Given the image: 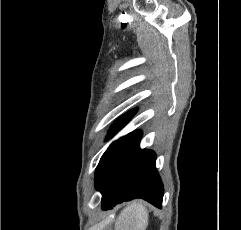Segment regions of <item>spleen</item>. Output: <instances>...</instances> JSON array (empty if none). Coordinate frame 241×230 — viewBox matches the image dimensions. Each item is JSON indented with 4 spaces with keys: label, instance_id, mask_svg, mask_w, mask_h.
Returning a JSON list of instances; mask_svg holds the SVG:
<instances>
[{
    "label": "spleen",
    "instance_id": "3e777b00",
    "mask_svg": "<svg viewBox=\"0 0 241 230\" xmlns=\"http://www.w3.org/2000/svg\"><path fill=\"white\" fill-rule=\"evenodd\" d=\"M147 225L146 205L142 201H134L121 211L115 223V230H145Z\"/></svg>",
    "mask_w": 241,
    "mask_h": 230
}]
</instances>
